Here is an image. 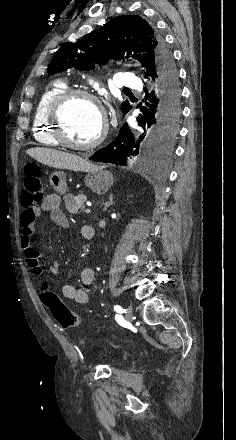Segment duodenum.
I'll use <instances>...</instances> for the list:
<instances>
[{"label":"duodenum","instance_id":"duodenum-1","mask_svg":"<svg viewBox=\"0 0 236 440\" xmlns=\"http://www.w3.org/2000/svg\"><path fill=\"white\" fill-rule=\"evenodd\" d=\"M86 229H87L89 232H91V231L93 230V227H91V226H86Z\"/></svg>","mask_w":236,"mask_h":440}]
</instances>
